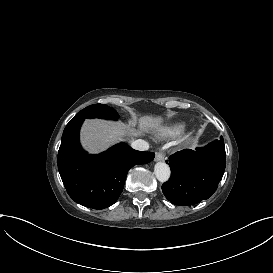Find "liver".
<instances>
[{
  "label": "liver",
  "instance_id": "liver-1",
  "mask_svg": "<svg viewBox=\"0 0 273 273\" xmlns=\"http://www.w3.org/2000/svg\"><path fill=\"white\" fill-rule=\"evenodd\" d=\"M163 119L161 117H140L139 130L131 128L135 122L124 125L120 122L104 121L99 119L85 120L81 129L82 146L90 153H99L116 142L123 141L125 136H139L143 132L158 129Z\"/></svg>",
  "mask_w": 273,
  "mask_h": 273
}]
</instances>
